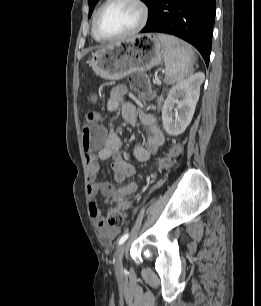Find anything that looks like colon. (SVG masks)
<instances>
[{"label":"colon","instance_id":"1","mask_svg":"<svg viewBox=\"0 0 261 306\" xmlns=\"http://www.w3.org/2000/svg\"><path fill=\"white\" fill-rule=\"evenodd\" d=\"M131 81L135 89L142 92L145 96L150 95L148 83L144 75L141 74L134 75L131 78ZM90 99H92V97H90ZM93 117H94L93 113H89L88 120L81 129L83 147L87 152H92L99 149L105 136L104 128L99 123H96L93 120ZM178 150L179 147L177 145H174L171 149L170 156L161 159L158 163V166L159 167L168 166L171 162V157L175 155L178 152ZM130 207H131V201L123 200L117 207L113 208L109 212L108 224L115 228L121 227L125 222V214Z\"/></svg>","mask_w":261,"mask_h":306}]
</instances>
